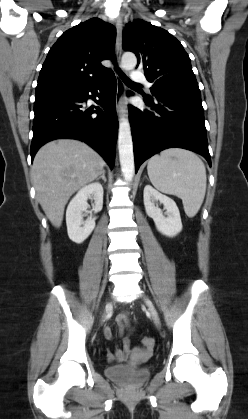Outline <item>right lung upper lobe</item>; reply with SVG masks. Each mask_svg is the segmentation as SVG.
<instances>
[{
	"label": "right lung upper lobe",
	"instance_id": "right-lung-upper-lobe-1",
	"mask_svg": "<svg viewBox=\"0 0 248 419\" xmlns=\"http://www.w3.org/2000/svg\"><path fill=\"white\" fill-rule=\"evenodd\" d=\"M116 29L92 18L64 32L42 65L36 95L78 90L104 78L110 68L100 62L113 54Z\"/></svg>",
	"mask_w": 248,
	"mask_h": 419
}]
</instances>
